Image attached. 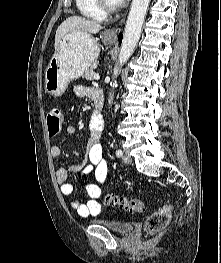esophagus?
I'll list each match as a JSON object with an SVG mask.
<instances>
[{
    "mask_svg": "<svg viewBox=\"0 0 221 263\" xmlns=\"http://www.w3.org/2000/svg\"><path fill=\"white\" fill-rule=\"evenodd\" d=\"M125 17H126V15L121 19V21L119 22L118 26H122V24L125 21ZM105 34H106V36H108L110 38L116 39L117 38V29L116 28L108 29Z\"/></svg>",
    "mask_w": 221,
    "mask_h": 263,
    "instance_id": "esophagus-1",
    "label": "esophagus"
}]
</instances>
